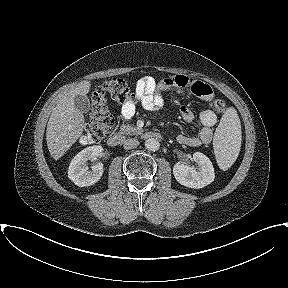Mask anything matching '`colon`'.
Segmentation results:
<instances>
[{"label":"colon","instance_id":"obj_1","mask_svg":"<svg viewBox=\"0 0 288 288\" xmlns=\"http://www.w3.org/2000/svg\"><path fill=\"white\" fill-rule=\"evenodd\" d=\"M107 98L122 105L137 100L136 94L121 78L114 77L96 88L91 95V119L86 124L82 136L85 143H100L109 134L113 119L107 106ZM211 106L218 113H223L226 109L225 102L220 98L215 99Z\"/></svg>","mask_w":288,"mask_h":288}]
</instances>
